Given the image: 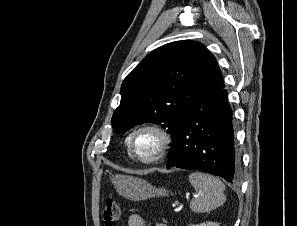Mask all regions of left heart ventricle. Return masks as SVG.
Listing matches in <instances>:
<instances>
[{
    "label": "left heart ventricle",
    "mask_w": 297,
    "mask_h": 226,
    "mask_svg": "<svg viewBox=\"0 0 297 226\" xmlns=\"http://www.w3.org/2000/svg\"><path fill=\"white\" fill-rule=\"evenodd\" d=\"M158 137L152 132L141 133L136 141L135 147L142 156H149L158 145Z\"/></svg>",
    "instance_id": "1"
}]
</instances>
